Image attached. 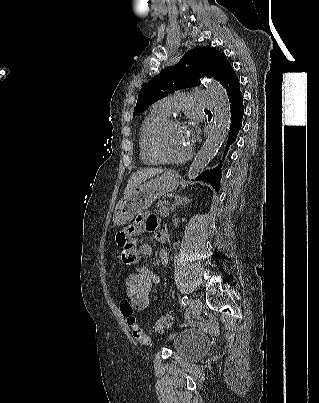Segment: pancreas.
I'll list each match as a JSON object with an SVG mask.
<instances>
[{"label": "pancreas", "instance_id": "pancreas-1", "mask_svg": "<svg viewBox=\"0 0 319 403\" xmlns=\"http://www.w3.org/2000/svg\"><path fill=\"white\" fill-rule=\"evenodd\" d=\"M156 212L162 216L163 218H166L169 215V207L162 202L157 204V210Z\"/></svg>", "mask_w": 319, "mask_h": 403}]
</instances>
